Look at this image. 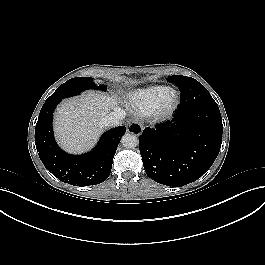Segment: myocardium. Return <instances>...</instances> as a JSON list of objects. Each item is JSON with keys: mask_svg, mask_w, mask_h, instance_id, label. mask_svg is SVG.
<instances>
[{"mask_svg": "<svg viewBox=\"0 0 265 265\" xmlns=\"http://www.w3.org/2000/svg\"><path fill=\"white\" fill-rule=\"evenodd\" d=\"M179 93L171 90L157 103L151 115L156 118H164L173 113L179 104Z\"/></svg>", "mask_w": 265, "mask_h": 265, "instance_id": "myocardium-1", "label": "myocardium"}]
</instances>
